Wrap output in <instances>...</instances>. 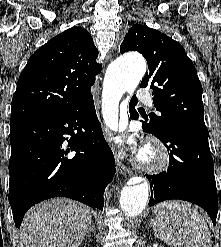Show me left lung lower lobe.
Masks as SVG:
<instances>
[{"label":"left lung lower lobe","instance_id":"0a47b994","mask_svg":"<svg viewBox=\"0 0 221 247\" xmlns=\"http://www.w3.org/2000/svg\"><path fill=\"white\" fill-rule=\"evenodd\" d=\"M137 102L133 96L129 106L131 119L139 117L134 109ZM142 128L160 139L171 152L167 171L147 175L153 189L149 206L170 199L192 202L205 209L216 225L218 196L207 128L173 125L158 132L148 122H143Z\"/></svg>","mask_w":221,"mask_h":247}]
</instances>
